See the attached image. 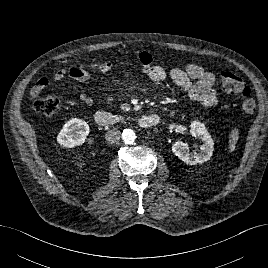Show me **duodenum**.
I'll return each mask as SVG.
<instances>
[{
	"label": "duodenum",
	"instance_id": "1",
	"mask_svg": "<svg viewBox=\"0 0 268 268\" xmlns=\"http://www.w3.org/2000/svg\"><path fill=\"white\" fill-rule=\"evenodd\" d=\"M95 121L101 126H113L123 121V118L117 115H112L107 112H98ZM159 122V117L154 114H147L137 120L140 127L149 128L153 127Z\"/></svg>",
	"mask_w": 268,
	"mask_h": 268
}]
</instances>
